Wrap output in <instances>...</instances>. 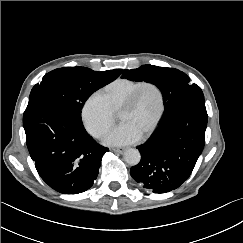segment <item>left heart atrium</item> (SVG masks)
Listing matches in <instances>:
<instances>
[{
  "label": "left heart atrium",
  "instance_id": "obj_1",
  "mask_svg": "<svg viewBox=\"0 0 243 243\" xmlns=\"http://www.w3.org/2000/svg\"><path fill=\"white\" fill-rule=\"evenodd\" d=\"M142 134L127 123H121L114 128L105 138V143L109 145H127L138 141Z\"/></svg>",
  "mask_w": 243,
  "mask_h": 243
}]
</instances>
